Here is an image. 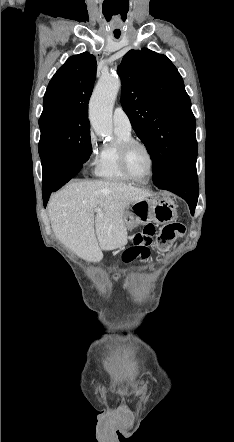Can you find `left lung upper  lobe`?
<instances>
[{
    "instance_id": "5c2ea615",
    "label": "left lung upper lobe",
    "mask_w": 234,
    "mask_h": 442,
    "mask_svg": "<svg viewBox=\"0 0 234 442\" xmlns=\"http://www.w3.org/2000/svg\"><path fill=\"white\" fill-rule=\"evenodd\" d=\"M118 74L122 107L151 156L157 186L196 142L190 98L173 63L147 48L127 52Z\"/></svg>"
}]
</instances>
